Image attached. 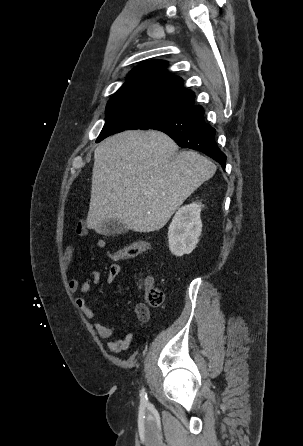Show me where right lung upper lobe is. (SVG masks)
I'll return each mask as SVG.
<instances>
[{
  "instance_id": "right-lung-upper-lobe-1",
  "label": "right lung upper lobe",
  "mask_w": 303,
  "mask_h": 446,
  "mask_svg": "<svg viewBox=\"0 0 303 446\" xmlns=\"http://www.w3.org/2000/svg\"><path fill=\"white\" fill-rule=\"evenodd\" d=\"M167 62L150 61L132 69L127 81L108 101L107 106H141L164 110L175 99L194 103V93L183 87V80L168 72Z\"/></svg>"
}]
</instances>
